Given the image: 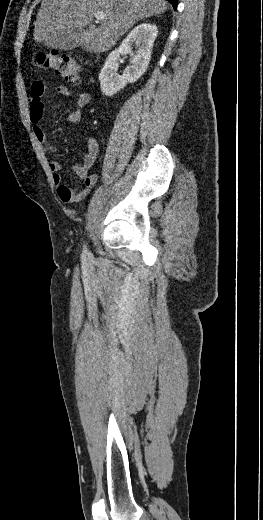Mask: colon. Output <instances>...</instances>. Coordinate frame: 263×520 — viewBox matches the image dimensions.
I'll return each instance as SVG.
<instances>
[{"label":"colon","instance_id":"5ec220e1","mask_svg":"<svg viewBox=\"0 0 263 520\" xmlns=\"http://www.w3.org/2000/svg\"><path fill=\"white\" fill-rule=\"evenodd\" d=\"M36 61L42 67L53 71L57 76L67 80L73 85L80 83V67L72 57L55 50L39 52Z\"/></svg>","mask_w":263,"mask_h":520}]
</instances>
